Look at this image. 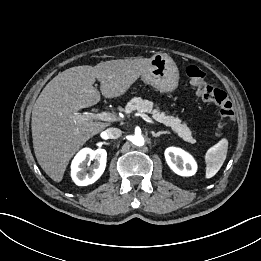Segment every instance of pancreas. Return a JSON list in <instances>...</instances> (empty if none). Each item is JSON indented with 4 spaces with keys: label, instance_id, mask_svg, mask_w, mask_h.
Listing matches in <instances>:
<instances>
[{
    "label": "pancreas",
    "instance_id": "pancreas-1",
    "mask_svg": "<svg viewBox=\"0 0 261 261\" xmlns=\"http://www.w3.org/2000/svg\"><path fill=\"white\" fill-rule=\"evenodd\" d=\"M133 111L151 113L155 120L163 123L167 127H171V129L184 141L189 143L196 142V140L192 137V132L186 123H181V120L178 117L167 115L166 112H161L159 107L154 105V103L149 100H143L140 97H134L131 99L125 107V112L129 114Z\"/></svg>",
    "mask_w": 261,
    "mask_h": 261
}]
</instances>
